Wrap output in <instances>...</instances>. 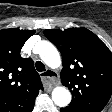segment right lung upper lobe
Here are the masks:
<instances>
[{
    "label": "right lung upper lobe",
    "instance_id": "right-lung-upper-lobe-1",
    "mask_svg": "<svg viewBox=\"0 0 112 112\" xmlns=\"http://www.w3.org/2000/svg\"><path fill=\"white\" fill-rule=\"evenodd\" d=\"M35 30H0V112H31L43 90L31 58H22L20 50Z\"/></svg>",
    "mask_w": 112,
    "mask_h": 112
}]
</instances>
